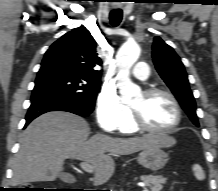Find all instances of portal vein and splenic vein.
<instances>
[{
    "instance_id": "1",
    "label": "portal vein and splenic vein",
    "mask_w": 218,
    "mask_h": 191,
    "mask_svg": "<svg viewBox=\"0 0 218 191\" xmlns=\"http://www.w3.org/2000/svg\"><path fill=\"white\" fill-rule=\"evenodd\" d=\"M80 167L82 170L88 173H93V166L89 164V162H81ZM139 186L143 187V191H149L146 187L145 184H139Z\"/></svg>"
}]
</instances>
